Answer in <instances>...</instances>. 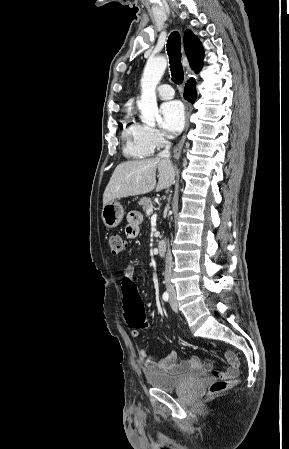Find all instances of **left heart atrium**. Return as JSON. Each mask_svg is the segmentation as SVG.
Wrapping results in <instances>:
<instances>
[{"label":"left heart atrium","instance_id":"39dd6f15","mask_svg":"<svg viewBox=\"0 0 289 449\" xmlns=\"http://www.w3.org/2000/svg\"><path fill=\"white\" fill-rule=\"evenodd\" d=\"M161 127L169 134L179 133L185 123V111L179 101H168L160 107Z\"/></svg>","mask_w":289,"mask_h":449}]
</instances>
